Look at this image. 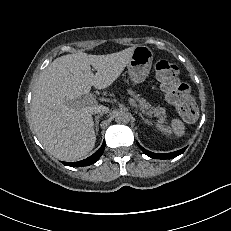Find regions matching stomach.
<instances>
[{
  "label": "stomach",
  "instance_id": "0dacf381",
  "mask_svg": "<svg viewBox=\"0 0 231 231\" xmlns=\"http://www.w3.org/2000/svg\"><path fill=\"white\" fill-rule=\"evenodd\" d=\"M153 61V52L147 46L135 47L127 65L128 74L135 84L142 83L149 76Z\"/></svg>",
  "mask_w": 231,
  "mask_h": 231
}]
</instances>
